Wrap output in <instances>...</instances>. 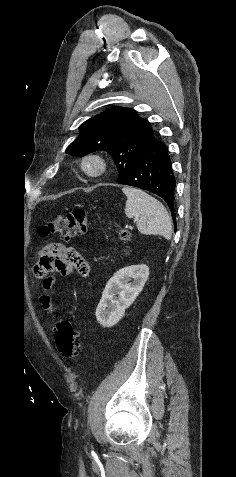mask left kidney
Masks as SVG:
<instances>
[{
    "label": "left kidney",
    "instance_id": "5707ae66",
    "mask_svg": "<svg viewBox=\"0 0 236 477\" xmlns=\"http://www.w3.org/2000/svg\"><path fill=\"white\" fill-rule=\"evenodd\" d=\"M148 276V266L140 264L122 268L109 279L96 309V318L103 327H112L120 321L142 291ZM131 280L132 283H128Z\"/></svg>",
    "mask_w": 236,
    "mask_h": 477
}]
</instances>
